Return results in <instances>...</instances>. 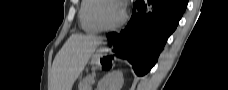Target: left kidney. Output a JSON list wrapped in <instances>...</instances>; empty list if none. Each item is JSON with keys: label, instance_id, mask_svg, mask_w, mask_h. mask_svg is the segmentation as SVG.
<instances>
[{"label": "left kidney", "instance_id": "left-kidney-1", "mask_svg": "<svg viewBox=\"0 0 228 90\" xmlns=\"http://www.w3.org/2000/svg\"><path fill=\"white\" fill-rule=\"evenodd\" d=\"M124 83L121 71H114L104 76L98 83V90H121Z\"/></svg>", "mask_w": 228, "mask_h": 90}]
</instances>
